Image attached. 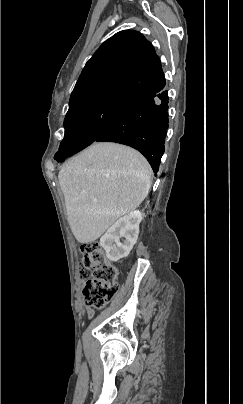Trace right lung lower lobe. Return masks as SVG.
<instances>
[{
  "instance_id": "1",
  "label": "right lung lower lobe",
  "mask_w": 243,
  "mask_h": 404,
  "mask_svg": "<svg viewBox=\"0 0 243 404\" xmlns=\"http://www.w3.org/2000/svg\"><path fill=\"white\" fill-rule=\"evenodd\" d=\"M168 92L154 90L128 100L94 142H116L137 149L159 169L168 128Z\"/></svg>"
}]
</instances>
